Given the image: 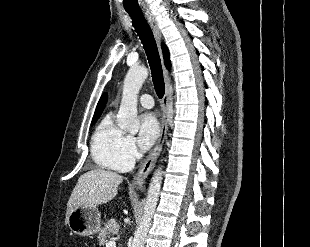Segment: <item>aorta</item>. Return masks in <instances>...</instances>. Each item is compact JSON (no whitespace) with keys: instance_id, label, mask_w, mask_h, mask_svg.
Listing matches in <instances>:
<instances>
[{"instance_id":"aorta-1","label":"aorta","mask_w":310,"mask_h":247,"mask_svg":"<svg viewBox=\"0 0 310 247\" xmlns=\"http://www.w3.org/2000/svg\"><path fill=\"white\" fill-rule=\"evenodd\" d=\"M147 77L148 70L145 67H132L129 69L124 80L117 123L121 129L132 134L137 133L140 127V122L137 117L138 93ZM162 179L163 171L162 167H159L151 178L143 215L134 233L131 247H144L145 239L159 199Z\"/></svg>"}]
</instances>
